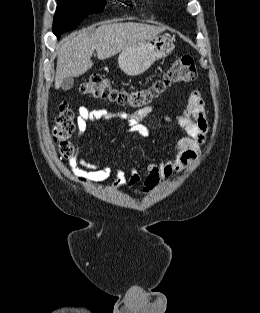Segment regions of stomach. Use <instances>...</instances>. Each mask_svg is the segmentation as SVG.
<instances>
[{"mask_svg": "<svg viewBox=\"0 0 260 313\" xmlns=\"http://www.w3.org/2000/svg\"><path fill=\"white\" fill-rule=\"evenodd\" d=\"M174 47L173 40L167 36H155L137 42L120 53L119 67L129 76L140 75L155 61L170 55Z\"/></svg>", "mask_w": 260, "mask_h": 313, "instance_id": "1", "label": "stomach"}]
</instances>
